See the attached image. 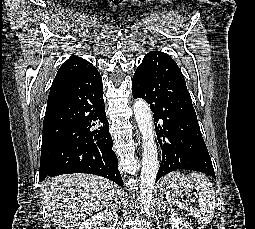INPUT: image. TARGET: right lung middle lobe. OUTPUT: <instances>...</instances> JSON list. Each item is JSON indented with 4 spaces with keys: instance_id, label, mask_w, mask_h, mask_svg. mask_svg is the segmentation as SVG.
I'll list each match as a JSON object with an SVG mask.
<instances>
[{
    "instance_id": "obj_1",
    "label": "right lung middle lobe",
    "mask_w": 255,
    "mask_h": 229,
    "mask_svg": "<svg viewBox=\"0 0 255 229\" xmlns=\"http://www.w3.org/2000/svg\"><path fill=\"white\" fill-rule=\"evenodd\" d=\"M61 134V128L43 130L40 166H47Z\"/></svg>"
}]
</instances>
